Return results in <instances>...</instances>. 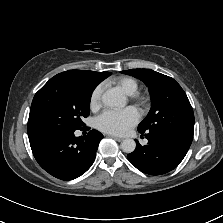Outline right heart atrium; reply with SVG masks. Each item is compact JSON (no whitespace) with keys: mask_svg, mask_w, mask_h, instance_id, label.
Returning a JSON list of instances; mask_svg holds the SVG:
<instances>
[{"mask_svg":"<svg viewBox=\"0 0 223 223\" xmlns=\"http://www.w3.org/2000/svg\"><path fill=\"white\" fill-rule=\"evenodd\" d=\"M103 87L101 85L96 86L91 94H90V107L95 110L98 109L101 105V95H102Z\"/></svg>","mask_w":223,"mask_h":223,"instance_id":"right-heart-atrium-1","label":"right heart atrium"}]
</instances>
